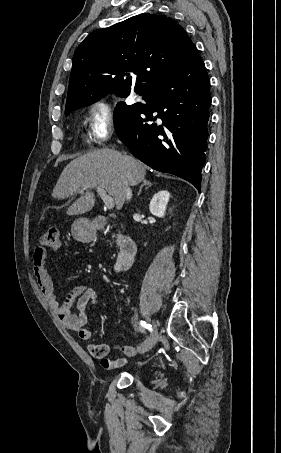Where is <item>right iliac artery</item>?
Wrapping results in <instances>:
<instances>
[{
    "mask_svg": "<svg viewBox=\"0 0 281 453\" xmlns=\"http://www.w3.org/2000/svg\"><path fill=\"white\" fill-rule=\"evenodd\" d=\"M141 326L145 327L146 329L152 331V325L151 324H147L145 321H141Z\"/></svg>",
    "mask_w": 281,
    "mask_h": 453,
    "instance_id": "1",
    "label": "right iliac artery"
}]
</instances>
